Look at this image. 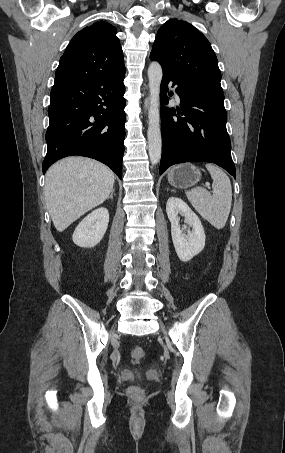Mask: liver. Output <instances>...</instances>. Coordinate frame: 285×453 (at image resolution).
<instances>
[{"mask_svg":"<svg viewBox=\"0 0 285 453\" xmlns=\"http://www.w3.org/2000/svg\"><path fill=\"white\" fill-rule=\"evenodd\" d=\"M114 173L84 157H68L46 173V206L57 231L62 232L89 210L102 204L113 190Z\"/></svg>","mask_w":285,"mask_h":453,"instance_id":"obj_1","label":"liver"}]
</instances>
